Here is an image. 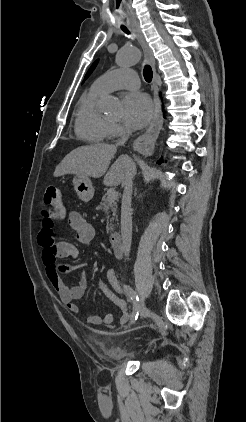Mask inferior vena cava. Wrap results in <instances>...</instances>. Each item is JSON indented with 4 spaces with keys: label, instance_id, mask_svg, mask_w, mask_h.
<instances>
[{
    "label": "inferior vena cava",
    "instance_id": "1",
    "mask_svg": "<svg viewBox=\"0 0 246 422\" xmlns=\"http://www.w3.org/2000/svg\"><path fill=\"white\" fill-rule=\"evenodd\" d=\"M130 130H125L116 146L124 145L128 140ZM134 172H129L126 179L122 183L124 188L121 206V236L122 248L126 257L129 256L132 241V212H131V198H132V180Z\"/></svg>",
    "mask_w": 246,
    "mask_h": 422
}]
</instances>
